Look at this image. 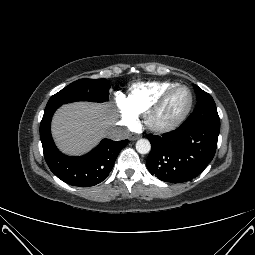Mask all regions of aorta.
<instances>
[{
  "mask_svg": "<svg viewBox=\"0 0 255 255\" xmlns=\"http://www.w3.org/2000/svg\"><path fill=\"white\" fill-rule=\"evenodd\" d=\"M136 150L140 154H147L151 150V144L147 139H139L136 142Z\"/></svg>",
  "mask_w": 255,
  "mask_h": 255,
  "instance_id": "obj_1",
  "label": "aorta"
}]
</instances>
